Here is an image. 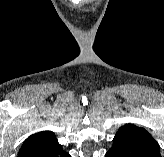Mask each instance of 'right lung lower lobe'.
Segmentation results:
<instances>
[{"mask_svg": "<svg viewBox=\"0 0 164 157\" xmlns=\"http://www.w3.org/2000/svg\"><path fill=\"white\" fill-rule=\"evenodd\" d=\"M27 157H71L65 152L57 140L42 145L40 148L29 153Z\"/></svg>", "mask_w": 164, "mask_h": 157, "instance_id": "right-lung-lower-lobe-1", "label": "right lung lower lobe"}]
</instances>
